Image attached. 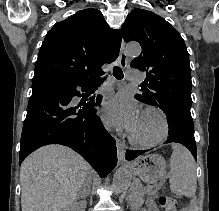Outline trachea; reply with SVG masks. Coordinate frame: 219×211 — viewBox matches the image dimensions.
Here are the masks:
<instances>
[{"label": "trachea", "mask_w": 219, "mask_h": 211, "mask_svg": "<svg viewBox=\"0 0 219 211\" xmlns=\"http://www.w3.org/2000/svg\"><path fill=\"white\" fill-rule=\"evenodd\" d=\"M113 75L115 76V78H117V80H121L123 78V72L121 70V68H119L118 66H115L113 68ZM106 77L98 80L96 83H95V86L97 85H101L103 83V81H105Z\"/></svg>", "instance_id": "1"}]
</instances>
